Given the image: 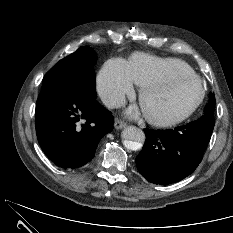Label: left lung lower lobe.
<instances>
[{
    "label": "left lung lower lobe",
    "instance_id": "1",
    "mask_svg": "<svg viewBox=\"0 0 233 233\" xmlns=\"http://www.w3.org/2000/svg\"><path fill=\"white\" fill-rule=\"evenodd\" d=\"M214 125L196 120L169 130L145 129L146 141L136 157L141 175L154 184L167 185L197 168Z\"/></svg>",
    "mask_w": 233,
    "mask_h": 233
}]
</instances>
